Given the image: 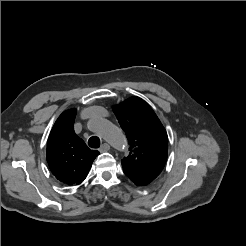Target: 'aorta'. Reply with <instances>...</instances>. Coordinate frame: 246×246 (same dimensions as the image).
<instances>
[{
	"mask_svg": "<svg viewBox=\"0 0 246 246\" xmlns=\"http://www.w3.org/2000/svg\"><path fill=\"white\" fill-rule=\"evenodd\" d=\"M90 128L117 149L124 148L122 131L106 119L95 117L90 120Z\"/></svg>",
	"mask_w": 246,
	"mask_h": 246,
	"instance_id": "1",
	"label": "aorta"
}]
</instances>
